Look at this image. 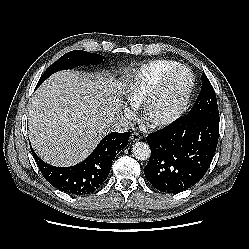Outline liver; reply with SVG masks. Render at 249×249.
Instances as JSON below:
<instances>
[{"label": "liver", "instance_id": "1", "mask_svg": "<svg viewBox=\"0 0 249 249\" xmlns=\"http://www.w3.org/2000/svg\"><path fill=\"white\" fill-rule=\"evenodd\" d=\"M123 87L101 74L66 70L49 77L28 107L30 141L39 157L55 166L85 159L120 115Z\"/></svg>", "mask_w": 249, "mask_h": 249}]
</instances>
